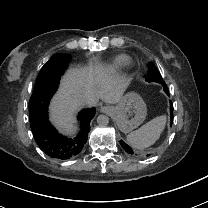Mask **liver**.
Wrapping results in <instances>:
<instances>
[{
    "label": "liver",
    "instance_id": "1",
    "mask_svg": "<svg viewBox=\"0 0 208 208\" xmlns=\"http://www.w3.org/2000/svg\"><path fill=\"white\" fill-rule=\"evenodd\" d=\"M127 86L128 83L114 78L113 73L104 68L73 70L64 79L60 95L53 103V119L63 131L70 132L73 128L71 113L80 105L73 92L84 89L92 96L90 104H96L98 98L108 104H117Z\"/></svg>",
    "mask_w": 208,
    "mask_h": 208
}]
</instances>
